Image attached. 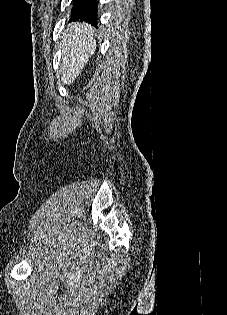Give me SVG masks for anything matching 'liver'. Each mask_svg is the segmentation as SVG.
Segmentation results:
<instances>
[{"label": "liver", "instance_id": "obj_1", "mask_svg": "<svg viewBox=\"0 0 227 315\" xmlns=\"http://www.w3.org/2000/svg\"><path fill=\"white\" fill-rule=\"evenodd\" d=\"M62 48L61 81L65 85H70L95 51L93 28L85 23L70 24L62 37Z\"/></svg>", "mask_w": 227, "mask_h": 315}]
</instances>
